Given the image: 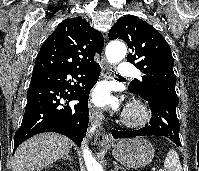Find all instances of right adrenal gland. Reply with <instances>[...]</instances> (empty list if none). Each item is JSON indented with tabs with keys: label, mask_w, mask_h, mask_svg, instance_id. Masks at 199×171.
<instances>
[{
	"label": "right adrenal gland",
	"mask_w": 199,
	"mask_h": 171,
	"mask_svg": "<svg viewBox=\"0 0 199 171\" xmlns=\"http://www.w3.org/2000/svg\"><path fill=\"white\" fill-rule=\"evenodd\" d=\"M63 160H69V161H72V158L70 157L69 155V152L66 153V155L64 157H62Z\"/></svg>",
	"instance_id": "2a0ac1e0"
}]
</instances>
